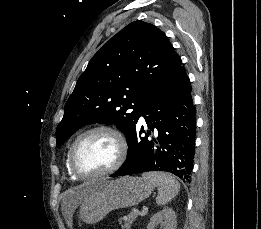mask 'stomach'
<instances>
[{"label": "stomach", "instance_id": "obj_1", "mask_svg": "<svg viewBox=\"0 0 261 229\" xmlns=\"http://www.w3.org/2000/svg\"><path fill=\"white\" fill-rule=\"evenodd\" d=\"M93 193L80 207L81 221L93 225L102 221L110 211L139 205L153 191L152 183L141 177H120L116 181L95 179L86 183Z\"/></svg>", "mask_w": 261, "mask_h": 229}]
</instances>
